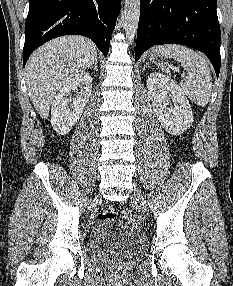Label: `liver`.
I'll return each mask as SVG.
<instances>
[{
  "instance_id": "1",
  "label": "liver",
  "mask_w": 233,
  "mask_h": 286,
  "mask_svg": "<svg viewBox=\"0 0 233 286\" xmlns=\"http://www.w3.org/2000/svg\"><path fill=\"white\" fill-rule=\"evenodd\" d=\"M97 58L95 44L82 36L53 39L35 50L26 65V83L32 103L47 118L57 91Z\"/></svg>"
}]
</instances>
